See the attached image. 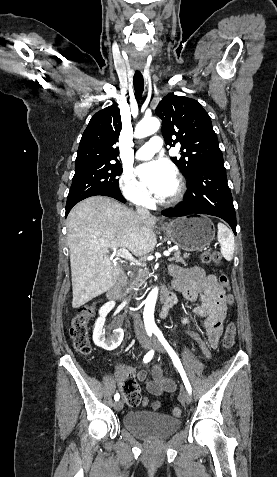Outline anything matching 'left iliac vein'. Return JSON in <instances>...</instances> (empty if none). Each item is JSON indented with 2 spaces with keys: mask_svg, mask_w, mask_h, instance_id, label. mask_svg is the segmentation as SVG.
Returning <instances> with one entry per match:
<instances>
[{
  "mask_svg": "<svg viewBox=\"0 0 277 477\" xmlns=\"http://www.w3.org/2000/svg\"><path fill=\"white\" fill-rule=\"evenodd\" d=\"M152 346L159 352L165 353L164 347L161 345V343L154 338L152 340ZM182 401L185 402L186 404H190L192 402V395L188 391H184L181 395Z\"/></svg>",
  "mask_w": 277,
  "mask_h": 477,
  "instance_id": "4c4485c4",
  "label": "left iliac vein"
}]
</instances>
